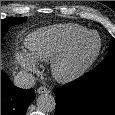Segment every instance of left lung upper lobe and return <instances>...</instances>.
I'll list each match as a JSON object with an SVG mask.
<instances>
[{
	"mask_svg": "<svg viewBox=\"0 0 115 115\" xmlns=\"http://www.w3.org/2000/svg\"><path fill=\"white\" fill-rule=\"evenodd\" d=\"M115 68V39L110 41V47L106 58L96 67L97 70Z\"/></svg>",
	"mask_w": 115,
	"mask_h": 115,
	"instance_id": "1",
	"label": "left lung upper lobe"
}]
</instances>
